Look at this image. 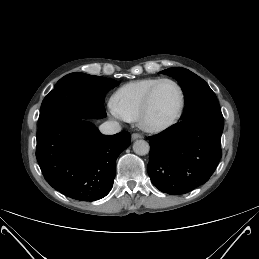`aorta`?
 Listing matches in <instances>:
<instances>
[{
    "instance_id": "aorta-1",
    "label": "aorta",
    "mask_w": 259,
    "mask_h": 259,
    "mask_svg": "<svg viewBox=\"0 0 259 259\" xmlns=\"http://www.w3.org/2000/svg\"><path fill=\"white\" fill-rule=\"evenodd\" d=\"M150 146L149 143L145 140H137L133 144V151L140 156L146 155L149 153Z\"/></svg>"
}]
</instances>
